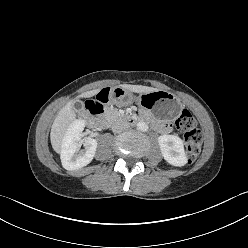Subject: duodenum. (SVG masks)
I'll return each mask as SVG.
<instances>
[{"mask_svg":"<svg viewBox=\"0 0 248 248\" xmlns=\"http://www.w3.org/2000/svg\"><path fill=\"white\" fill-rule=\"evenodd\" d=\"M115 94V89L112 86L104 87L94 99H90L86 105V115L90 118L92 125L95 128H103L107 124V120L102 113V105ZM123 122L132 125L136 120L131 116L123 117ZM154 128L157 127V123H153Z\"/></svg>","mask_w":248,"mask_h":248,"instance_id":"duodenum-1","label":"duodenum"}]
</instances>
